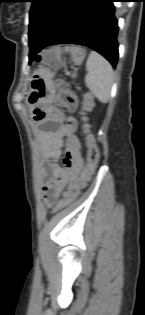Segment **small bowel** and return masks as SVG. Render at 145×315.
I'll return each mask as SVG.
<instances>
[{
    "label": "small bowel",
    "instance_id": "obj_1",
    "mask_svg": "<svg viewBox=\"0 0 145 315\" xmlns=\"http://www.w3.org/2000/svg\"><path fill=\"white\" fill-rule=\"evenodd\" d=\"M75 128V120L67 118L59 129L48 132L42 137L43 152L39 178L43 197L49 205H53L60 196L64 197L67 191L77 185L84 175L82 147L79 138L74 134ZM65 138L67 151L63 160L65 168H62L59 166L58 160L62 154ZM90 178L91 176H87V183Z\"/></svg>",
    "mask_w": 145,
    "mask_h": 315
}]
</instances>
